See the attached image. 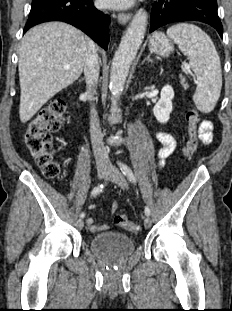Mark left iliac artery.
<instances>
[{
    "mask_svg": "<svg viewBox=\"0 0 232 311\" xmlns=\"http://www.w3.org/2000/svg\"><path fill=\"white\" fill-rule=\"evenodd\" d=\"M118 164H119L121 171L130 180V182L136 183V178H135L132 170L130 169V167H128L126 164L121 163V162H119ZM150 213H151L150 209L148 207H145V214L147 216H149Z\"/></svg>",
    "mask_w": 232,
    "mask_h": 311,
    "instance_id": "obj_1",
    "label": "left iliac artery"
}]
</instances>
